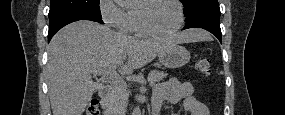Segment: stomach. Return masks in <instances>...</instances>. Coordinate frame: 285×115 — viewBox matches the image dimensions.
Here are the masks:
<instances>
[{"label":"stomach","mask_w":285,"mask_h":115,"mask_svg":"<svg viewBox=\"0 0 285 115\" xmlns=\"http://www.w3.org/2000/svg\"><path fill=\"white\" fill-rule=\"evenodd\" d=\"M160 63L166 68H180L190 60L189 51L178 44H173L158 55Z\"/></svg>","instance_id":"obj_1"}]
</instances>
